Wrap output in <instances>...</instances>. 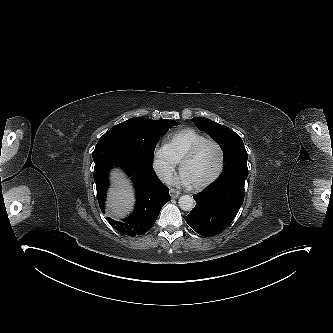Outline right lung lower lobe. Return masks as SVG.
Segmentation results:
<instances>
[{"label":"right lung lower lobe","instance_id":"98d812e1","mask_svg":"<svg viewBox=\"0 0 333 333\" xmlns=\"http://www.w3.org/2000/svg\"><path fill=\"white\" fill-rule=\"evenodd\" d=\"M95 162L94 181L96 183L99 206L104 212L106 190L109 186L108 173L113 166L127 172L135 184L136 207L128 218L121 221L107 217L110 225L122 234L135 237L150 230L159 216L163 205L171 197L169 189L159 180L152 166L148 165L126 142L103 135L93 151Z\"/></svg>","mask_w":333,"mask_h":333}]
</instances>
